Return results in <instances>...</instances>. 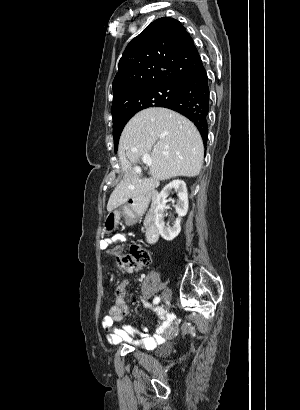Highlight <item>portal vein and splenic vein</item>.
<instances>
[{
    "label": "portal vein and splenic vein",
    "mask_w": 300,
    "mask_h": 410,
    "mask_svg": "<svg viewBox=\"0 0 300 410\" xmlns=\"http://www.w3.org/2000/svg\"><path fill=\"white\" fill-rule=\"evenodd\" d=\"M142 162H143L144 164H146V165H151V164H152V160H151V158H150V155H149V154L144 155V156L142 157ZM137 171H140V170H137Z\"/></svg>",
    "instance_id": "1"
}]
</instances>
